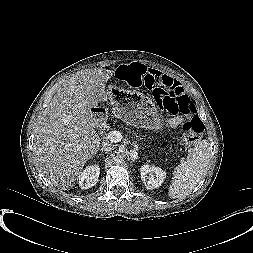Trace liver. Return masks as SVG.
<instances>
[{"label": "liver", "instance_id": "1", "mask_svg": "<svg viewBox=\"0 0 253 253\" xmlns=\"http://www.w3.org/2000/svg\"><path fill=\"white\" fill-rule=\"evenodd\" d=\"M112 70L85 69L66 79L43 111L33 151L40 170L54 185L69 190L98 151L100 138L91 109L105 98Z\"/></svg>", "mask_w": 253, "mask_h": 253}]
</instances>
